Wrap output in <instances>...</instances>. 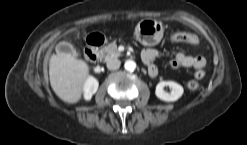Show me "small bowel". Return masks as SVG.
I'll use <instances>...</instances> for the list:
<instances>
[{"instance_id": "small-bowel-1", "label": "small bowel", "mask_w": 247, "mask_h": 145, "mask_svg": "<svg viewBox=\"0 0 247 145\" xmlns=\"http://www.w3.org/2000/svg\"><path fill=\"white\" fill-rule=\"evenodd\" d=\"M182 35L185 36V39L181 42H185L191 45H197L199 43V38L197 35L193 33L188 32H180ZM159 55L158 51L154 48H147L142 53L143 61L148 65V70L150 66H155L153 64V59H155ZM171 67L172 68H192L196 72L199 70H203V68L206 65V59L204 56L198 54V55H186L181 52H177L174 54L172 60H171ZM156 70L154 72H150L149 74L151 76H157L158 75V69L155 66ZM195 72V73H196Z\"/></svg>"}]
</instances>
